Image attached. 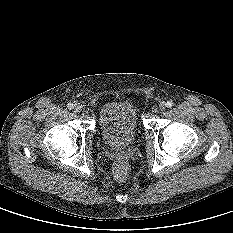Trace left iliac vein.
Listing matches in <instances>:
<instances>
[{"instance_id":"left-iliac-vein-1","label":"left iliac vein","mask_w":233,"mask_h":233,"mask_svg":"<svg viewBox=\"0 0 233 233\" xmlns=\"http://www.w3.org/2000/svg\"><path fill=\"white\" fill-rule=\"evenodd\" d=\"M158 107H159L160 111H164L165 108H166V103L165 102H160Z\"/></svg>"}]
</instances>
